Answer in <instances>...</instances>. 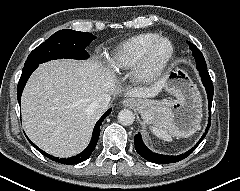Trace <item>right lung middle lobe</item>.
<instances>
[{
  "instance_id": "dd1d6c3e",
  "label": "right lung middle lobe",
  "mask_w": 240,
  "mask_h": 191,
  "mask_svg": "<svg viewBox=\"0 0 240 191\" xmlns=\"http://www.w3.org/2000/svg\"><path fill=\"white\" fill-rule=\"evenodd\" d=\"M94 39L95 36L88 32L59 30L29 54L23 69L52 59H87L86 47Z\"/></svg>"
}]
</instances>
